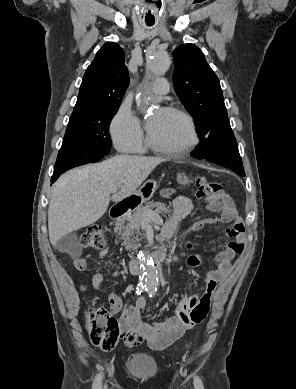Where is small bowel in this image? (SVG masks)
I'll list each match as a JSON object with an SVG mask.
<instances>
[{
    "label": "small bowel",
    "mask_w": 296,
    "mask_h": 389,
    "mask_svg": "<svg viewBox=\"0 0 296 389\" xmlns=\"http://www.w3.org/2000/svg\"><path fill=\"white\" fill-rule=\"evenodd\" d=\"M171 192L169 189L164 190L165 195ZM172 207L173 212L161 231V237L163 239L173 237L181 216L192 217L194 212L192 201L184 196L175 198ZM209 209L220 211V215L215 218L193 220L190 224L191 231H198L208 224L233 223V225L224 230L229 240L219 247V251L215 256L217 268L206 274L204 291L200 296L181 299L176 307L175 313L164 321L144 322L140 318V312L145 306V298L143 296L137 299L134 306L122 310L120 296L114 292L107 294L110 312L117 314L122 311L120 315V329L121 337L126 345L137 346L146 342L153 350H164L179 340L186 331L197 324L191 320L193 312H208L216 285L229 275L231 260L236 255L241 254L245 246L243 220L237 215L233 203L225 197L221 204L210 205ZM188 246L193 247L194 245L190 242ZM201 261L199 256L193 255L188 259V266L190 268L197 267L201 264ZM75 267L79 271L86 270V258L84 256H78L75 259ZM91 285L96 290H104V275L100 272L94 274L91 279Z\"/></svg>",
    "instance_id": "small-bowel-1"
}]
</instances>
